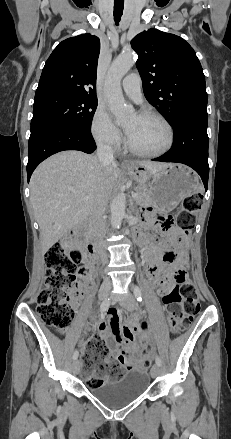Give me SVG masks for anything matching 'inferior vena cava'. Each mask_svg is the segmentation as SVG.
I'll return each mask as SVG.
<instances>
[{"label": "inferior vena cava", "instance_id": "inferior-vena-cava-1", "mask_svg": "<svg viewBox=\"0 0 231 439\" xmlns=\"http://www.w3.org/2000/svg\"><path fill=\"white\" fill-rule=\"evenodd\" d=\"M97 156L102 167H106L115 163L113 149L111 146L105 143H98ZM109 197L110 196L107 189L105 187H102L95 198L94 205L91 211L93 225L100 242H102L103 236L105 234V211L109 201ZM100 255L103 261L107 260V254L103 249H101Z\"/></svg>", "mask_w": 231, "mask_h": 439}]
</instances>
